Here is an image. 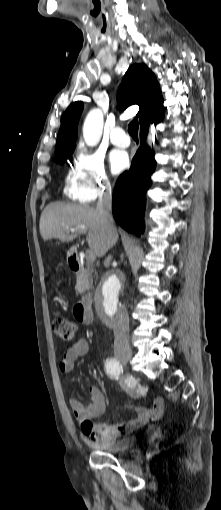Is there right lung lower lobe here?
<instances>
[{
	"label": "right lung lower lobe",
	"mask_w": 221,
	"mask_h": 510,
	"mask_svg": "<svg viewBox=\"0 0 221 510\" xmlns=\"http://www.w3.org/2000/svg\"><path fill=\"white\" fill-rule=\"evenodd\" d=\"M148 127L149 123L141 127V146L132 160L130 171L118 178L112 200L116 222L137 236L144 230L146 191L151 185L150 176L156 167L154 153L144 143Z\"/></svg>",
	"instance_id": "right-lung-lower-lobe-1"
}]
</instances>
